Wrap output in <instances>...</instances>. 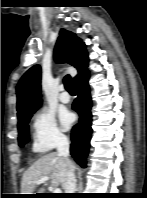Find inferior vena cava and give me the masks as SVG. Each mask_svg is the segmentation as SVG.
<instances>
[{
    "instance_id": "602c4592",
    "label": "inferior vena cava",
    "mask_w": 147,
    "mask_h": 198,
    "mask_svg": "<svg viewBox=\"0 0 147 198\" xmlns=\"http://www.w3.org/2000/svg\"><path fill=\"white\" fill-rule=\"evenodd\" d=\"M57 152L67 163L68 170L64 184L65 193H75L76 177L74 174L73 163L69 159V140L66 136H60L57 142Z\"/></svg>"
}]
</instances>
